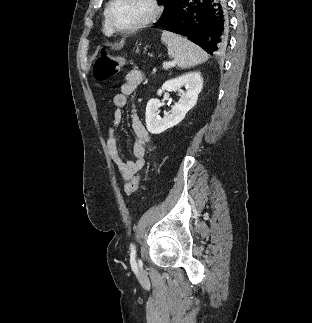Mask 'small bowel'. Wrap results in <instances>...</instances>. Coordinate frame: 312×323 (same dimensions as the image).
<instances>
[{
	"instance_id": "c3829d8e",
	"label": "small bowel",
	"mask_w": 312,
	"mask_h": 323,
	"mask_svg": "<svg viewBox=\"0 0 312 323\" xmlns=\"http://www.w3.org/2000/svg\"><path fill=\"white\" fill-rule=\"evenodd\" d=\"M143 81L144 73L139 69H132L126 74L125 82L113 98L115 109L112 113L111 123L106 130L107 152L116 166L118 175L125 182L130 181L143 169L149 135L137 114L133 112L131 124L135 134V142L132 148L134 159L126 160L121 157L119 152L117 130L123 121L122 108L126 106L128 97L136 91Z\"/></svg>"
}]
</instances>
